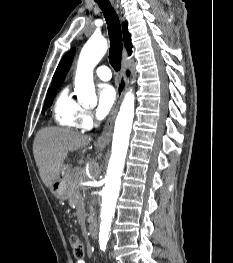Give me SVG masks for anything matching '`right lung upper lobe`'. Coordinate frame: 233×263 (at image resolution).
I'll return each mask as SVG.
<instances>
[{
  "label": "right lung upper lobe",
  "instance_id": "right-lung-upper-lobe-1",
  "mask_svg": "<svg viewBox=\"0 0 233 263\" xmlns=\"http://www.w3.org/2000/svg\"><path fill=\"white\" fill-rule=\"evenodd\" d=\"M123 37H124L126 49L128 53L131 54L132 44H131L130 34L127 31V22L123 23ZM74 53H75V50L73 49L61 60L53 76L52 86L49 89L60 87V85L64 81L66 73L68 72L72 64Z\"/></svg>",
  "mask_w": 233,
  "mask_h": 263
}]
</instances>
